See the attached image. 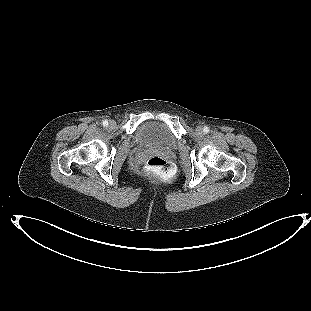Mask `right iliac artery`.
Returning <instances> with one entry per match:
<instances>
[{"mask_svg":"<svg viewBox=\"0 0 311 311\" xmlns=\"http://www.w3.org/2000/svg\"><path fill=\"white\" fill-rule=\"evenodd\" d=\"M103 126H108V121L107 120L103 121Z\"/></svg>","mask_w":311,"mask_h":311,"instance_id":"right-iliac-artery-1","label":"right iliac artery"}]
</instances>
